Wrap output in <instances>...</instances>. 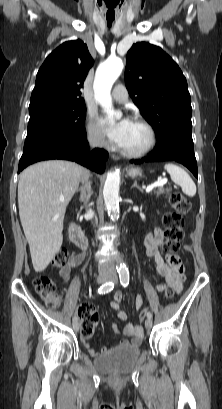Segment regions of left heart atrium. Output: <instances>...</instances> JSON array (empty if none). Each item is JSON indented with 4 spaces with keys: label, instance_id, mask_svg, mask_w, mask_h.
<instances>
[{
    "label": "left heart atrium",
    "instance_id": "obj_1",
    "mask_svg": "<svg viewBox=\"0 0 222 409\" xmlns=\"http://www.w3.org/2000/svg\"><path fill=\"white\" fill-rule=\"evenodd\" d=\"M101 125L104 127L109 138L118 146H122L126 131L131 123L129 119H123L116 124H111L106 116L100 119Z\"/></svg>",
    "mask_w": 222,
    "mask_h": 409
}]
</instances>
